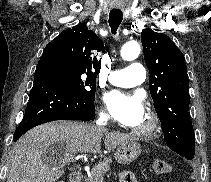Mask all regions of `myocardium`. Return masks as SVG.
<instances>
[{
    "label": "myocardium",
    "mask_w": 211,
    "mask_h": 182,
    "mask_svg": "<svg viewBox=\"0 0 211 182\" xmlns=\"http://www.w3.org/2000/svg\"><path fill=\"white\" fill-rule=\"evenodd\" d=\"M148 117V124L144 128H135L132 133L142 139H149L153 137L160 128V118L153 110H148L146 113Z\"/></svg>",
    "instance_id": "1"
}]
</instances>
